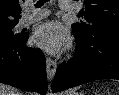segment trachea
I'll return each instance as SVG.
<instances>
[{
    "instance_id": "obj_1",
    "label": "trachea",
    "mask_w": 119,
    "mask_h": 95,
    "mask_svg": "<svg viewBox=\"0 0 119 95\" xmlns=\"http://www.w3.org/2000/svg\"><path fill=\"white\" fill-rule=\"evenodd\" d=\"M47 0H39L35 5L37 8L41 7Z\"/></svg>"
}]
</instances>
